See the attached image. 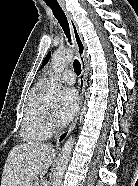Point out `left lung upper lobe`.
<instances>
[{
  "label": "left lung upper lobe",
  "mask_w": 138,
  "mask_h": 186,
  "mask_svg": "<svg viewBox=\"0 0 138 186\" xmlns=\"http://www.w3.org/2000/svg\"><path fill=\"white\" fill-rule=\"evenodd\" d=\"M49 57H50V53H48V55L45 57V59L43 61V64H42V67L48 62Z\"/></svg>",
  "instance_id": "obj_1"
}]
</instances>
